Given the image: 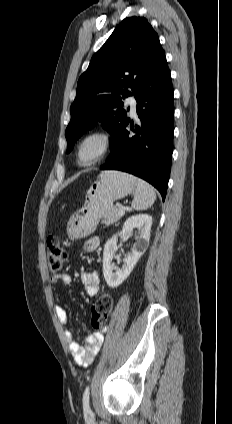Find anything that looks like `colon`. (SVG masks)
Wrapping results in <instances>:
<instances>
[{
  "label": "colon",
  "instance_id": "obj_1",
  "mask_svg": "<svg viewBox=\"0 0 232 424\" xmlns=\"http://www.w3.org/2000/svg\"><path fill=\"white\" fill-rule=\"evenodd\" d=\"M47 265L51 272L62 269L66 259L63 242L57 236H50L47 240ZM113 308V298L110 294H102L91 308L90 324L93 328H100L107 320Z\"/></svg>",
  "mask_w": 232,
  "mask_h": 424
}]
</instances>
